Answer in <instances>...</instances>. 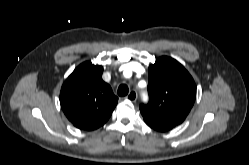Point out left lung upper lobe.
<instances>
[{
  "label": "left lung upper lobe",
  "instance_id": "left-lung-upper-lobe-1",
  "mask_svg": "<svg viewBox=\"0 0 249 165\" xmlns=\"http://www.w3.org/2000/svg\"><path fill=\"white\" fill-rule=\"evenodd\" d=\"M149 103L140 106L146 122L175 127L190 112L196 85L188 71L175 59L162 56L149 66Z\"/></svg>",
  "mask_w": 249,
  "mask_h": 165
}]
</instances>
